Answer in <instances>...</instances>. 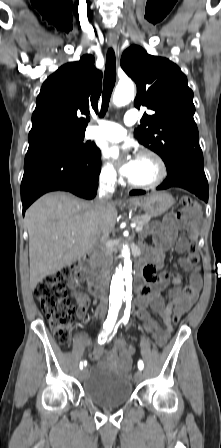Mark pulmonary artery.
Returning <instances> with one entry per match:
<instances>
[{
	"mask_svg": "<svg viewBox=\"0 0 221 448\" xmlns=\"http://www.w3.org/2000/svg\"><path fill=\"white\" fill-rule=\"evenodd\" d=\"M138 120V113L135 109H130L124 116L126 125H132ZM126 131L119 124L110 121H99L96 126L91 127L87 132L90 139H104L109 141H119L124 138Z\"/></svg>",
	"mask_w": 221,
	"mask_h": 448,
	"instance_id": "e3ab8cb5",
	"label": "pulmonary artery"
}]
</instances>
